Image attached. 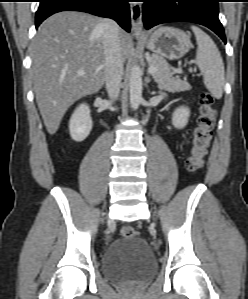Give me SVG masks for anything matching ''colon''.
<instances>
[{
	"label": "colon",
	"instance_id": "1",
	"mask_svg": "<svg viewBox=\"0 0 248 299\" xmlns=\"http://www.w3.org/2000/svg\"><path fill=\"white\" fill-rule=\"evenodd\" d=\"M215 117L216 107L214 97L208 92H202L200 95L197 123L193 131L192 146L186 160V168L189 172H197L203 166L207 147L212 137ZM121 235L126 238L136 237L137 231L131 226H124L121 228Z\"/></svg>",
	"mask_w": 248,
	"mask_h": 299
}]
</instances>
